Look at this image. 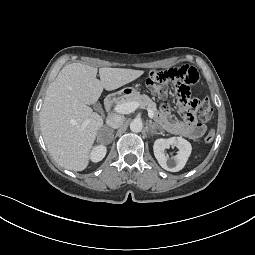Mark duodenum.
I'll list each match as a JSON object with an SVG mask.
<instances>
[{
  "mask_svg": "<svg viewBox=\"0 0 255 255\" xmlns=\"http://www.w3.org/2000/svg\"><path fill=\"white\" fill-rule=\"evenodd\" d=\"M123 96H124L123 92H117L109 95L104 101L105 108L109 110L117 101L122 99Z\"/></svg>",
  "mask_w": 255,
  "mask_h": 255,
  "instance_id": "obj_1",
  "label": "duodenum"
}]
</instances>
